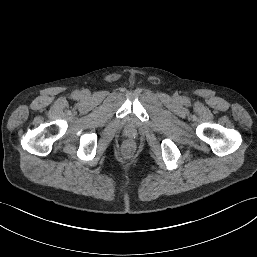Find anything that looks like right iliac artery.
Listing matches in <instances>:
<instances>
[{
	"instance_id": "82829eb1",
	"label": "right iliac artery",
	"mask_w": 257,
	"mask_h": 257,
	"mask_svg": "<svg viewBox=\"0 0 257 257\" xmlns=\"http://www.w3.org/2000/svg\"><path fill=\"white\" fill-rule=\"evenodd\" d=\"M78 96H79V92L78 91L73 92V97L74 98H77Z\"/></svg>"
}]
</instances>
